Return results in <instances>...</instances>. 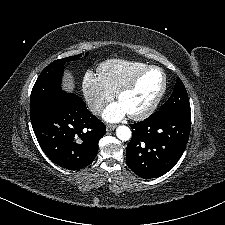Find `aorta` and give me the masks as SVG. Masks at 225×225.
<instances>
[{"mask_svg": "<svg viewBox=\"0 0 225 225\" xmlns=\"http://www.w3.org/2000/svg\"><path fill=\"white\" fill-rule=\"evenodd\" d=\"M116 135L120 140L127 141L131 138L132 134L129 127L122 125L116 129Z\"/></svg>", "mask_w": 225, "mask_h": 225, "instance_id": "aorta-1", "label": "aorta"}]
</instances>
